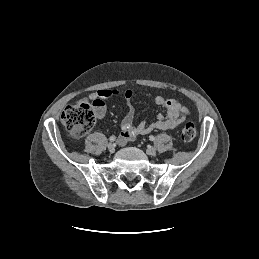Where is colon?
Here are the masks:
<instances>
[{
  "label": "colon",
  "instance_id": "5ec220e1",
  "mask_svg": "<svg viewBox=\"0 0 259 259\" xmlns=\"http://www.w3.org/2000/svg\"><path fill=\"white\" fill-rule=\"evenodd\" d=\"M61 121L66 129L75 137L87 134L95 123L94 105L79 102L67 106L62 114ZM196 136V128L193 123H185L181 129V137L185 141H191Z\"/></svg>",
  "mask_w": 259,
  "mask_h": 259
}]
</instances>
